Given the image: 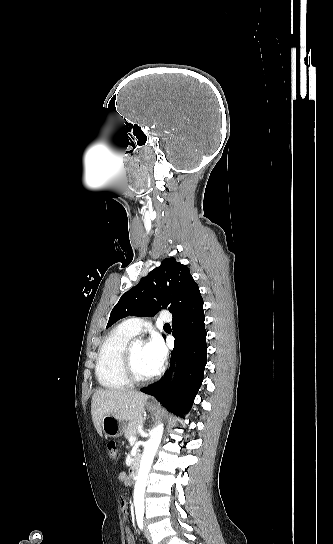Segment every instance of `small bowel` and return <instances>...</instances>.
<instances>
[{
  "mask_svg": "<svg viewBox=\"0 0 333 544\" xmlns=\"http://www.w3.org/2000/svg\"><path fill=\"white\" fill-rule=\"evenodd\" d=\"M118 479L124 485H126V486L130 485V480L128 479V477H127V475L125 473H120ZM120 506H121L122 511L125 512L126 507H127V501L123 497L120 498ZM126 541H127V544H135V538H134V536H133V534L131 533L130 530L126 531Z\"/></svg>",
  "mask_w": 333,
  "mask_h": 544,
  "instance_id": "obj_1",
  "label": "small bowel"
}]
</instances>
